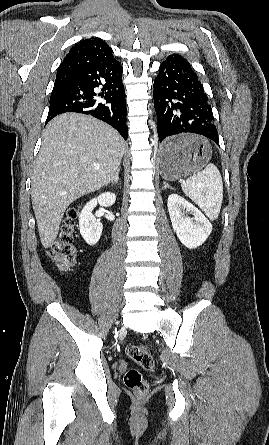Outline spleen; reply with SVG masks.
<instances>
[{
    "instance_id": "3e777b00",
    "label": "spleen",
    "mask_w": 269,
    "mask_h": 445,
    "mask_svg": "<svg viewBox=\"0 0 269 445\" xmlns=\"http://www.w3.org/2000/svg\"><path fill=\"white\" fill-rule=\"evenodd\" d=\"M181 187L210 220L218 218L223 200V182L214 164H208L204 170L181 181Z\"/></svg>"
}]
</instances>
